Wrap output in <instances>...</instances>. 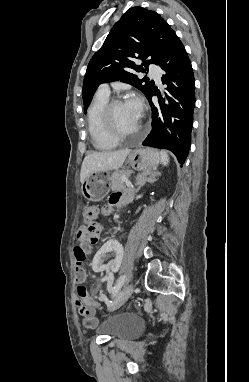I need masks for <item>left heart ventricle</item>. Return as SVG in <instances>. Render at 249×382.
<instances>
[{
	"instance_id": "b2bd125f",
	"label": "left heart ventricle",
	"mask_w": 249,
	"mask_h": 382,
	"mask_svg": "<svg viewBox=\"0 0 249 382\" xmlns=\"http://www.w3.org/2000/svg\"><path fill=\"white\" fill-rule=\"evenodd\" d=\"M112 116L115 127L122 133L134 132L140 123V117L133 112L126 102L116 105Z\"/></svg>"
}]
</instances>
